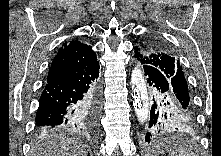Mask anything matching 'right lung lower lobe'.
<instances>
[{"label": "right lung lower lobe", "mask_w": 221, "mask_h": 156, "mask_svg": "<svg viewBox=\"0 0 221 156\" xmlns=\"http://www.w3.org/2000/svg\"><path fill=\"white\" fill-rule=\"evenodd\" d=\"M99 62L48 82L35 123L39 135L58 130L96 127L100 112Z\"/></svg>", "instance_id": "1"}]
</instances>
